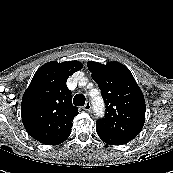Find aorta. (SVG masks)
Wrapping results in <instances>:
<instances>
[{
	"mask_svg": "<svg viewBox=\"0 0 173 173\" xmlns=\"http://www.w3.org/2000/svg\"><path fill=\"white\" fill-rule=\"evenodd\" d=\"M92 104L96 115L103 116L104 114V103L102 98L97 94L93 96Z\"/></svg>",
	"mask_w": 173,
	"mask_h": 173,
	"instance_id": "1",
	"label": "aorta"
}]
</instances>
